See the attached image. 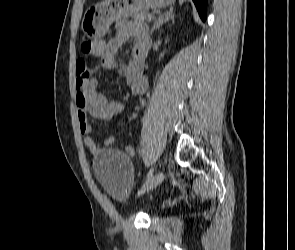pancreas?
<instances>
[{"label": "pancreas", "mask_w": 295, "mask_h": 250, "mask_svg": "<svg viewBox=\"0 0 295 250\" xmlns=\"http://www.w3.org/2000/svg\"><path fill=\"white\" fill-rule=\"evenodd\" d=\"M149 16H152V15L149 14L148 12H139L136 15H134L133 21L131 22V24L145 25Z\"/></svg>", "instance_id": "1"}]
</instances>
